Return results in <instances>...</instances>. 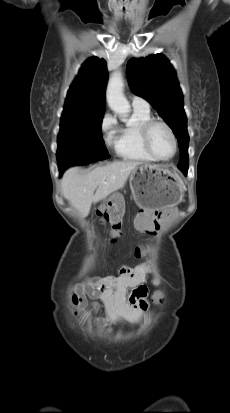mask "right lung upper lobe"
<instances>
[{
  "label": "right lung upper lobe",
  "instance_id": "cb5924a9",
  "mask_svg": "<svg viewBox=\"0 0 230 413\" xmlns=\"http://www.w3.org/2000/svg\"><path fill=\"white\" fill-rule=\"evenodd\" d=\"M107 79L105 60L89 58L80 68L68 90L61 122L103 117Z\"/></svg>",
  "mask_w": 230,
  "mask_h": 413
}]
</instances>
